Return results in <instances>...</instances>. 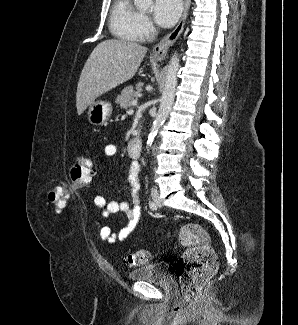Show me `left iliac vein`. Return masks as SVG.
Returning <instances> with one entry per match:
<instances>
[{
	"mask_svg": "<svg viewBox=\"0 0 298 325\" xmlns=\"http://www.w3.org/2000/svg\"><path fill=\"white\" fill-rule=\"evenodd\" d=\"M151 196H152V199H153L155 205L157 207H161V199H160V196H159L158 189L156 187L152 188Z\"/></svg>",
	"mask_w": 298,
	"mask_h": 325,
	"instance_id": "left-iliac-vein-1",
	"label": "left iliac vein"
}]
</instances>
